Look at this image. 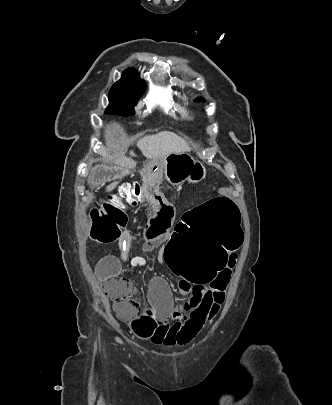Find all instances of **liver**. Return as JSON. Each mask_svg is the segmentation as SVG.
Returning a JSON list of instances; mask_svg holds the SVG:
<instances>
[{"label":"liver","mask_w":332,"mask_h":405,"mask_svg":"<svg viewBox=\"0 0 332 405\" xmlns=\"http://www.w3.org/2000/svg\"><path fill=\"white\" fill-rule=\"evenodd\" d=\"M114 146L118 147L119 145L116 143ZM137 147L147 159L153 161H160L172 153H181L190 150V147L184 138L169 131L145 136L138 141ZM125 152L126 150L120 151L119 153L117 160L120 163H128V160L125 157Z\"/></svg>","instance_id":"obj_1"}]
</instances>
